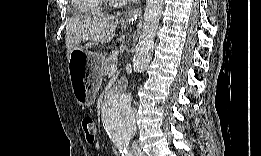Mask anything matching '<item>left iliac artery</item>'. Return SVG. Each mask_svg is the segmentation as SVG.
<instances>
[{"instance_id":"left-iliac-artery-1","label":"left iliac artery","mask_w":261,"mask_h":156,"mask_svg":"<svg viewBox=\"0 0 261 156\" xmlns=\"http://www.w3.org/2000/svg\"><path fill=\"white\" fill-rule=\"evenodd\" d=\"M129 140H130V138H128V137L116 140V146L118 147L122 156H131L132 155L128 151Z\"/></svg>"}]
</instances>
